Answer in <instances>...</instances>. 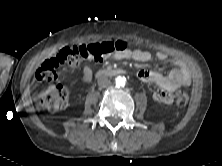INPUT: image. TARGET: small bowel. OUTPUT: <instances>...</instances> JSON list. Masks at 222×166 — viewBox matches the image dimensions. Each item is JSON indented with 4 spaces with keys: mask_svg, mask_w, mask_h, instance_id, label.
<instances>
[{
    "mask_svg": "<svg viewBox=\"0 0 222 166\" xmlns=\"http://www.w3.org/2000/svg\"><path fill=\"white\" fill-rule=\"evenodd\" d=\"M116 60L133 59L139 62H149L153 59V54L147 50L126 48L121 52H117L112 56ZM156 58L160 61H167L169 57L164 52H157ZM174 68L171 72L164 76L160 73L141 70L138 72V78L143 82H149L157 85L159 90L154 92V99L158 102L171 104L173 102V93L180 87H187L191 83L190 73L185 64L177 59L171 61ZM92 78V69L85 65L82 70V80L90 81Z\"/></svg>",
    "mask_w": 222,
    "mask_h": 166,
    "instance_id": "obj_1",
    "label": "small bowel"
}]
</instances>
